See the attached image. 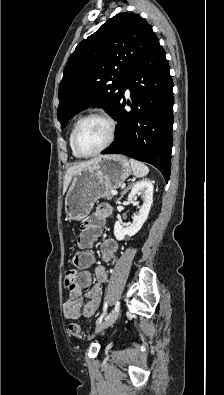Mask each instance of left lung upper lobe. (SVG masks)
I'll use <instances>...</instances> for the list:
<instances>
[{"label":"left lung upper lobe","instance_id":"1","mask_svg":"<svg viewBox=\"0 0 224 395\" xmlns=\"http://www.w3.org/2000/svg\"><path fill=\"white\" fill-rule=\"evenodd\" d=\"M158 40L139 14L119 13L82 40L71 54L59 87L57 118L61 129L78 112L101 106L113 116L126 81Z\"/></svg>","mask_w":224,"mask_h":395}]
</instances>
